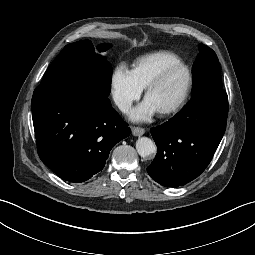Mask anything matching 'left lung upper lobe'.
Segmentation results:
<instances>
[{
    "instance_id": "left-lung-upper-lobe-1",
    "label": "left lung upper lobe",
    "mask_w": 255,
    "mask_h": 255,
    "mask_svg": "<svg viewBox=\"0 0 255 255\" xmlns=\"http://www.w3.org/2000/svg\"><path fill=\"white\" fill-rule=\"evenodd\" d=\"M200 53L193 64L194 94L209 85L222 87L221 72L218 58L215 52L203 45H199Z\"/></svg>"
}]
</instances>
